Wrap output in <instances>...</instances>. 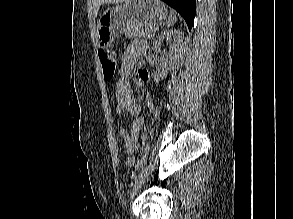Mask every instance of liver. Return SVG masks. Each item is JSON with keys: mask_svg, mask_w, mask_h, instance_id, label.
Returning <instances> with one entry per match:
<instances>
[{"mask_svg": "<svg viewBox=\"0 0 293 219\" xmlns=\"http://www.w3.org/2000/svg\"><path fill=\"white\" fill-rule=\"evenodd\" d=\"M125 0H93L92 3H93V14L94 16H97L98 14V11L100 9V6L102 4H105V3H120V2H123Z\"/></svg>", "mask_w": 293, "mask_h": 219, "instance_id": "1", "label": "liver"}]
</instances>
